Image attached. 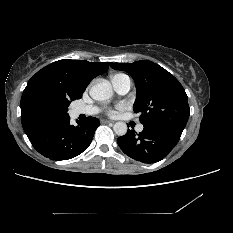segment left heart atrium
<instances>
[{
    "label": "left heart atrium",
    "instance_id": "1",
    "mask_svg": "<svg viewBox=\"0 0 233 233\" xmlns=\"http://www.w3.org/2000/svg\"><path fill=\"white\" fill-rule=\"evenodd\" d=\"M126 108V105L123 103H119L115 106V108H111L107 111L108 115L114 116L117 114V111H122Z\"/></svg>",
    "mask_w": 233,
    "mask_h": 233
}]
</instances>
